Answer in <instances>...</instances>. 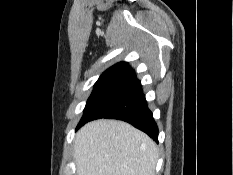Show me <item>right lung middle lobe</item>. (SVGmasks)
<instances>
[{"instance_id":"1","label":"right lung middle lobe","mask_w":233,"mask_h":175,"mask_svg":"<svg viewBox=\"0 0 233 175\" xmlns=\"http://www.w3.org/2000/svg\"><path fill=\"white\" fill-rule=\"evenodd\" d=\"M134 82L135 80L130 78H99L95 83L93 92L87 101L84 109V115L79 124L97 114L102 108L129 88Z\"/></svg>"}]
</instances>
